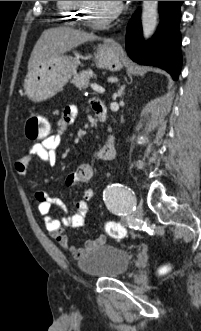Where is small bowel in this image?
Returning a JSON list of instances; mask_svg holds the SVG:
<instances>
[{"instance_id":"1","label":"small bowel","mask_w":201,"mask_h":331,"mask_svg":"<svg viewBox=\"0 0 201 331\" xmlns=\"http://www.w3.org/2000/svg\"><path fill=\"white\" fill-rule=\"evenodd\" d=\"M91 107L96 113L99 109H105L103 103L94 100ZM78 114L77 107L70 105L64 108L62 116L57 124L56 133L48 136L41 142L33 144L28 153L17 159L15 162L16 171L25 175L30 162L39 159L47 165L53 166L57 161V151L61 142V135L68 126L74 123ZM115 157V145L113 137H109L106 143L98 150L97 158L103 161H110ZM93 177V168L89 164H82L78 169L70 173L66 178V185L69 187L91 182ZM94 192L91 188H85L82 192V199L77 201L76 210L70 213L65 203L57 198L50 197L45 191L37 190L35 200L40 215L44 218L45 226L49 234L59 246L71 253L73 258L81 259L89 250L100 245L98 238L87 240L83 246L76 247L70 243L68 235L64 228H80L85 224L86 215L89 208V202L93 199ZM55 209L62 218L58 219L52 215Z\"/></svg>"}]
</instances>
